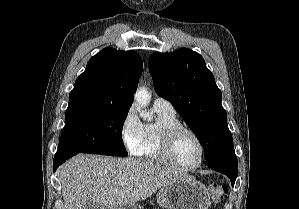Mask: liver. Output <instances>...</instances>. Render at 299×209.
<instances>
[{"mask_svg": "<svg viewBox=\"0 0 299 209\" xmlns=\"http://www.w3.org/2000/svg\"><path fill=\"white\" fill-rule=\"evenodd\" d=\"M58 177L64 209H82L87 199L108 208L134 205L189 175L150 161L79 154L60 166Z\"/></svg>", "mask_w": 299, "mask_h": 209, "instance_id": "liver-1", "label": "liver"}]
</instances>
